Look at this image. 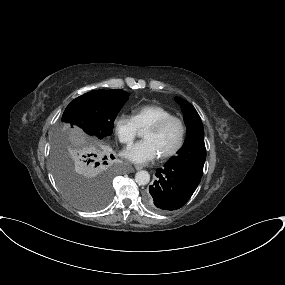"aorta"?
<instances>
[{"label":"aorta","instance_id":"1","mask_svg":"<svg viewBox=\"0 0 285 285\" xmlns=\"http://www.w3.org/2000/svg\"><path fill=\"white\" fill-rule=\"evenodd\" d=\"M135 181L138 185H147L150 181V174L147 171H138L135 175Z\"/></svg>","mask_w":285,"mask_h":285}]
</instances>
